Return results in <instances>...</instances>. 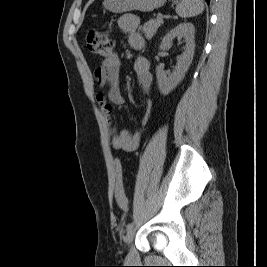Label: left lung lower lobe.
<instances>
[{"instance_id":"1","label":"left lung lower lobe","mask_w":267,"mask_h":267,"mask_svg":"<svg viewBox=\"0 0 267 267\" xmlns=\"http://www.w3.org/2000/svg\"><path fill=\"white\" fill-rule=\"evenodd\" d=\"M208 4L210 3V0H205Z\"/></svg>"}]
</instances>
